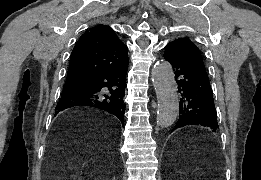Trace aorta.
<instances>
[{
	"instance_id": "obj_1",
	"label": "aorta",
	"mask_w": 261,
	"mask_h": 180,
	"mask_svg": "<svg viewBox=\"0 0 261 180\" xmlns=\"http://www.w3.org/2000/svg\"><path fill=\"white\" fill-rule=\"evenodd\" d=\"M152 81L157 96V125L161 128L171 126L179 113L174 72L168 61L161 60L152 69Z\"/></svg>"
}]
</instances>
